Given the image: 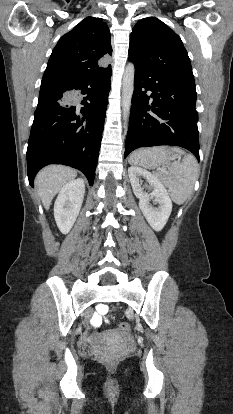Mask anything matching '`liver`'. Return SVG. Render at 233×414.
I'll list each match as a JSON object with an SVG mask.
<instances>
[{
    "mask_svg": "<svg viewBox=\"0 0 233 414\" xmlns=\"http://www.w3.org/2000/svg\"><path fill=\"white\" fill-rule=\"evenodd\" d=\"M76 176L77 170L62 165L47 166L37 174L35 178L37 194L45 209L50 207L53 198L63 186Z\"/></svg>",
    "mask_w": 233,
    "mask_h": 414,
    "instance_id": "1",
    "label": "liver"
}]
</instances>
